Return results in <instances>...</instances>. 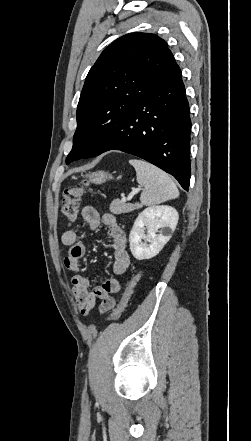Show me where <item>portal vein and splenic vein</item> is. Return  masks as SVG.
<instances>
[{"label": "portal vein and splenic vein", "instance_id": "18ae733b", "mask_svg": "<svg viewBox=\"0 0 251 441\" xmlns=\"http://www.w3.org/2000/svg\"><path fill=\"white\" fill-rule=\"evenodd\" d=\"M140 191V188H137L135 190H133L130 195L126 198L125 196L122 197V201L126 202L127 200H131L133 198V196L138 193Z\"/></svg>", "mask_w": 251, "mask_h": 441}]
</instances>
